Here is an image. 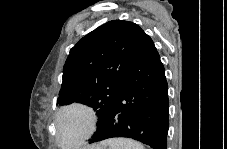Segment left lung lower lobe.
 Here are the masks:
<instances>
[{"instance_id":"1","label":"left lung lower lobe","mask_w":227,"mask_h":149,"mask_svg":"<svg viewBox=\"0 0 227 149\" xmlns=\"http://www.w3.org/2000/svg\"><path fill=\"white\" fill-rule=\"evenodd\" d=\"M168 115L164 67L152 39L144 33L118 96L89 142L127 137L153 149H167Z\"/></svg>"}]
</instances>
